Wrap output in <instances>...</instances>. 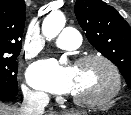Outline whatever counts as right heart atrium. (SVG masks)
<instances>
[{
    "instance_id": "1",
    "label": "right heart atrium",
    "mask_w": 131,
    "mask_h": 115,
    "mask_svg": "<svg viewBox=\"0 0 131 115\" xmlns=\"http://www.w3.org/2000/svg\"><path fill=\"white\" fill-rule=\"evenodd\" d=\"M23 91H24L25 96L29 99L39 100L46 97L44 92L40 90L31 89L27 86H24Z\"/></svg>"
}]
</instances>
